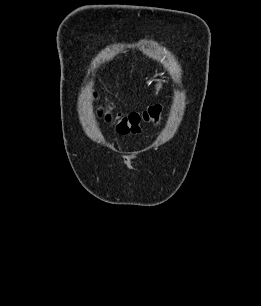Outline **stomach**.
I'll return each mask as SVG.
<instances>
[{
	"mask_svg": "<svg viewBox=\"0 0 261 306\" xmlns=\"http://www.w3.org/2000/svg\"><path fill=\"white\" fill-rule=\"evenodd\" d=\"M161 87H162V85L159 83V84L157 85V89L159 90Z\"/></svg>",
	"mask_w": 261,
	"mask_h": 306,
	"instance_id": "stomach-1",
	"label": "stomach"
}]
</instances>
